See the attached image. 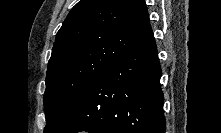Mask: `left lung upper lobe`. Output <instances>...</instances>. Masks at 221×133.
<instances>
[{"instance_id":"1","label":"left lung upper lobe","mask_w":221,"mask_h":133,"mask_svg":"<svg viewBox=\"0 0 221 133\" xmlns=\"http://www.w3.org/2000/svg\"><path fill=\"white\" fill-rule=\"evenodd\" d=\"M151 30L144 0L79 1L49 59L44 133H56L99 74Z\"/></svg>"}]
</instances>
